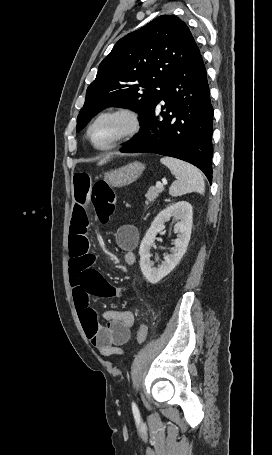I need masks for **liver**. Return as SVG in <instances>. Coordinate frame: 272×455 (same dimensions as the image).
Returning a JSON list of instances; mask_svg holds the SVG:
<instances>
[{
	"label": "liver",
	"mask_w": 272,
	"mask_h": 455,
	"mask_svg": "<svg viewBox=\"0 0 272 455\" xmlns=\"http://www.w3.org/2000/svg\"><path fill=\"white\" fill-rule=\"evenodd\" d=\"M109 159V156L105 157L104 159H101L99 162H98V165H102L104 163H106Z\"/></svg>",
	"instance_id": "liver-1"
}]
</instances>
